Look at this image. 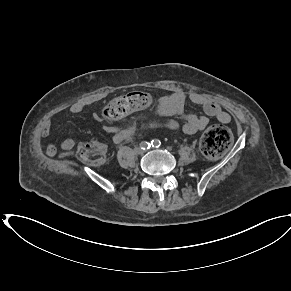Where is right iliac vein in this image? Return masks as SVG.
Masks as SVG:
<instances>
[{
	"label": "right iliac vein",
	"mask_w": 291,
	"mask_h": 291,
	"mask_svg": "<svg viewBox=\"0 0 291 291\" xmlns=\"http://www.w3.org/2000/svg\"><path fill=\"white\" fill-rule=\"evenodd\" d=\"M134 152L137 155H142L143 154V151L140 148H135Z\"/></svg>",
	"instance_id": "obj_1"
}]
</instances>
